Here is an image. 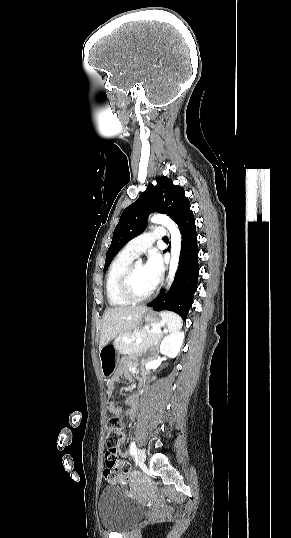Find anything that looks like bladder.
Returning a JSON list of instances; mask_svg holds the SVG:
<instances>
[{
	"label": "bladder",
	"mask_w": 291,
	"mask_h": 538,
	"mask_svg": "<svg viewBox=\"0 0 291 538\" xmlns=\"http://www.w3.org/2000/svg\"><path fill=\"white\" fill-rule=\"evenodd\" d=\"M101 525L111 532H125L143 515V508L127 499L118 485H108L97 504Z\"/></svg>",
	"instance_id": "obj_1"
}]
</instances>
